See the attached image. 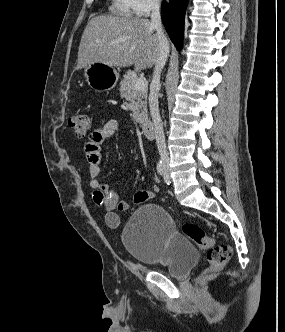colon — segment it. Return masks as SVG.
<instances>
[{"label": "colon", "instance_id": "5ec220e1", "mask_svg": "<svg viewBox=\"0 0 285 332\" xmlns=\"http://www.w3.org/2000/svg\"><path fill=\"white\" fill-rule=\"evenodd\" d=\"M90 126L89 118L85 114L78 113L69 119V127L78 137H84L89 132ZM182 230L190 240L200 248L207 250L208 270L220 269L230 259L231 248L225 244H216L198 224L185 223Z\"/></svg>", "mask_w": 285, "mask_h": 332}]
</instances>
